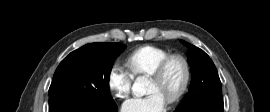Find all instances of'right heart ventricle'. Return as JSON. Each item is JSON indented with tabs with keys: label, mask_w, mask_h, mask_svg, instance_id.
<instances>
[{
	"label": "right heart ventricle",
	"mask_w": 270,
	"mask_h": 112,
	"mask_svg": "<svg viewBox=\"0 0 270 112\" xmlns=\"http://www.w3.org/2000/svg\"><path fill=\"white\" fill-rule=\"evenodd\" d=\"M169 55L170 52L161 47L145 45L132 51L126 63L134 76H149Z\"/></svg>",
	"instance_id": "e07e8e85"
}]
</instances>
